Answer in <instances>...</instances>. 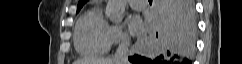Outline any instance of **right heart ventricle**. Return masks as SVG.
Segmentation results:
<instances>
[{
	"instance_id": "e07e8e85",
	"label": "right heart ventricle",
	"mask_w": 242,
	"mask_h": 64,
	"mask_svg": "<svg viewBox=\"0 0 242 64\" xmlns=\"http://www.w3.org/2000/svg\"><path fill=\"white\" fill-rule=\"evenodd\" d=\"M109 24L98 7L88 9L77 21L74 47L83 57H99L110 48Z\"/></svg>"
}]
</instances>
